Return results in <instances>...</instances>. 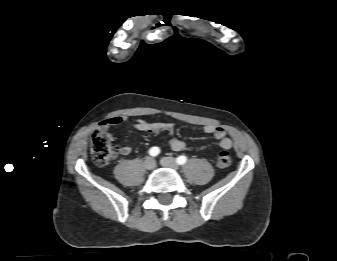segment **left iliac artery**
<instances>
[{
    "mask_svg": "<svg viewBox=\"0 0 337 261\" xmlns=\"http://www.w3.org/2000/svg\"><path fill=\"white\" fill-rule=\"evenodd\" d=\"M176 161H177V163H178L179 165H183V164L186 163L187 157L184 156V155H181V156H179V157L177 158Z\"/></svg>",
    "mask_w": 337,
    "mask_h": 261,
    "instance_id": "obj_1",
    "label": "left iliac artery"
}]
</instances>
